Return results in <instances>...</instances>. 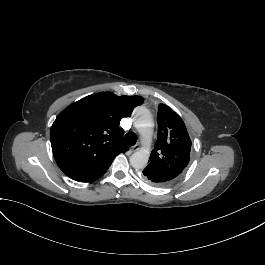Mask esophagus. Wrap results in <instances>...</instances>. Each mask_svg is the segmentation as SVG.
Returning a JSON list of instances; mask_svg holds the SVG:
<instances>
[{
  "mask_svg": "<svg viewBox=\"0 0 265 265\" xmlns=\"http://www.w3.org/2000/svg\"><path fill=\"white\" fill-rule=\"evenodd\" d=\"M134 151L140 149V143H137L136 145L133 146Z\"/></svg>",
  "mask_w": 265,
  "mask_h": 265,
  "instance_id": "1",
  "label": "esophagus"
}]
</instances>
